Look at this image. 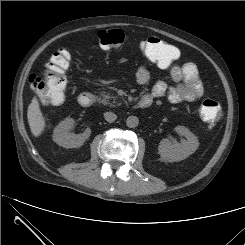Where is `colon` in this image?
I'll use <instances>...</instances> for the list:
<instances>
[{"mask_svg":"<svg viewBox=\"0 0 245 245\" xmlns=\"http://www.w3.org/2000/svg\"><path fill=\"white\" fill-rule=\"evenodd\" d=\"M127 34L120 29L104 30L98 34L99 46L110 49L124 44ZM142 53L160 67L171 65L177 58V49L157 37H147L141 40ZM69 60L63 50L54 53L46 67L45 77L32 74L29 84L36 92L41 102L45 104H60L66 94V70ZM200 116L208 128H213L221 116V106L214 99H205L200 105Z\"/></svg>","mask_w":245,"mask_h":245,"instance_id":"1","label":"colon"}]
</instances>
